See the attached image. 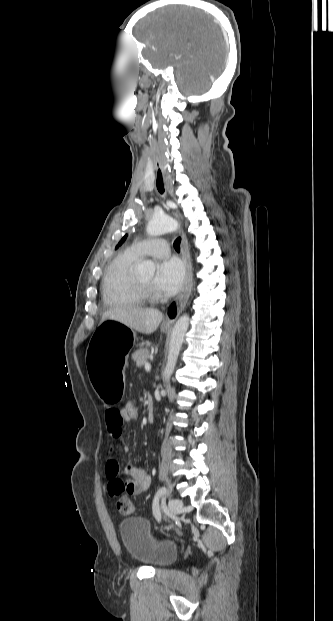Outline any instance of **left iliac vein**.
<instances>
[{
    "instance_id": "obj_1",
    "label": "left iliac vein",
    "mask_w": 333,
    "mask_h": 621,
    "mask_svg": "<svg viewBox=\"0 0 333 621\" xmlns=\"http://www.w3.org/2000/svg\"><path fill=\"white\" fill-rule=\"evenodd\" d=\"M169 511L172 516H177L183 511V502L179 499H171L169 501Z\"/></svg>"
}]
</instances>
